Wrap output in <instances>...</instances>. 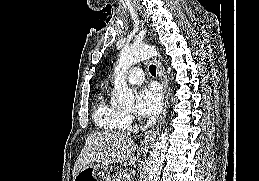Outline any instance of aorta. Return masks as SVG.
<instances>
[{"label": "aorta", "mask_w": 259, "mask_h": 181, "mask_svg": "<svg viewBox=\"0 0 259 181\" xmlns=\"http://www.w3.org/2000/svg\"><path fill=\"white\" fill-rule=\"evenodd\" d=\"M157 55L156 50L147 44H133L124 47L119 55L118 64L115 68L114 92L111 102L116 107L133 108L135 104L134 92L126 82V71L141 60ZM170 70V69H168ZM168 131L159 135L150 152L147 175L145 181H158L162 165L164 162L165 152L168 147Z\"/></svg>", "instance_id": "obj_1"}]
</instances>
